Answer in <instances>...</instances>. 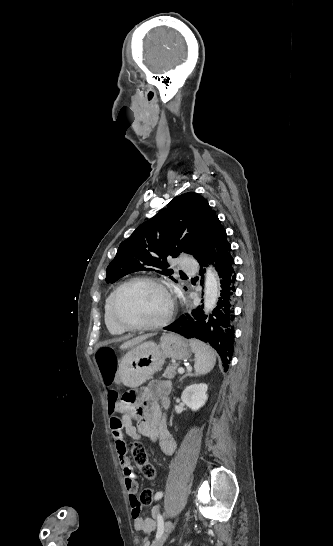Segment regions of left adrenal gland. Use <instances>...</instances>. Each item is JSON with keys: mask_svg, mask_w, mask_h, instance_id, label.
Instances as JSON below:
<instances>
[{"mask_svg": "<svg viewBox=\"0 0 333 546\" xmlns=\"http://www.w3.org/2000/svg\"><path fill=\"white\" fill-rule=\"evenodd\" d=\"M187 376H193V374H192V373L185 374V375L180 379V381H182V380H183L184 378H186Z\"/></svg>", "mask_w": 333, "mask_h": 546, "instance_id": "a2214340", "label": "left adrenal gland"}]
</instances>
